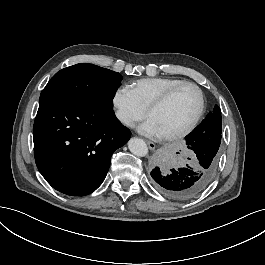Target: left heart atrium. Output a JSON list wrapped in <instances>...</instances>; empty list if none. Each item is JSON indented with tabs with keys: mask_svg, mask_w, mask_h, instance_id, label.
I'll use <instances>...</instances> for the list:
<instances>
[{
	"mask_svg": "<svg viewBox=\"0 0 265 265\" xmlns=\"http://www.w3.org/2000/svg\"><path fill=\"white\" fill-rule=\"evenodd\" d=\"M139 132L143 135L153 137V138H161L162 133L160 132L158 126L155 121L152 119H147L144 123L139 126Z\"/></svg>",
	"mask_w": 265,
	"mask_h": 265,
	"instance_id": "39dd6f15",
	"label": "left heart atrium"
}]
</instances>
